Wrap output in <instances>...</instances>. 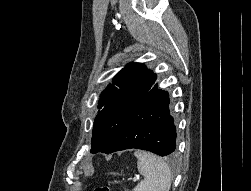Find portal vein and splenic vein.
Returning a JSON list of instances; mask_svg holds the SVG:
<instances>
[{
	"instance_id": "1",
	"label": "portal vein and splenic vein",
	"mask_w": 251,
	"mask_h": 191,
	"mask_svg": "<svg viewBox=\"0 0 251 191\" xmlns=\"http://www.w3.org/2000/svg\"><path fill=\"white\" fill-rule=\"evenodd\" d=\"M139 181H140L139 177H133L132 180H131V183L135 184L136 182H139Z\"/></svg>"
}]
</instances>
